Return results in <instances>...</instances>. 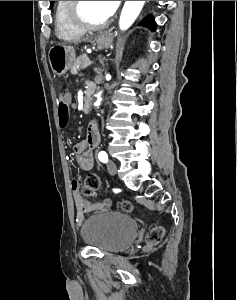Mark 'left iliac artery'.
Returning <instances> with one entry per match:
<instances>
[{"label":"left iliac artery","mask_w":237,"mask_h":300,"mask_svg":"<svg viewBox=\"0 0 237 300\" xmlns=\"http://www.w3.org/2000/svg\"><path fill=\"white\" fill-rule=\"evenodd\" d=\"M98 159L103 162V163H107L108 162V155L105 151H101L99 154H98Z\"/></svg>","instance_id":"1"}]
</instances>
